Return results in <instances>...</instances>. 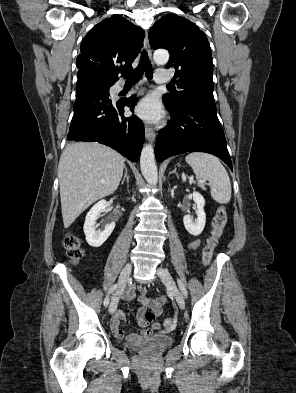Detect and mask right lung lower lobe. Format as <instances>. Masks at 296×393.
Listing matches in <instances>:
<instances>
[{"mask_svg": "<svg viewBox=\"0 0 296 393\" xmlns=\"http://www.w3.org/2000/svg\"><path fill=\"white\" fill-rule=\"evenodd\" d=\"M74 115L67 138L74 141H97L112 147L137 162L144 143L141 120L123 116L124 106L133 110L137 98L131 96L112 102L109 94L88 74H77Z\"/></svg>", "mask_w": 296, "mask_h": 393, "instance_id": "98d812e1", "label": "right lung lower lobe"}]
</instances>
